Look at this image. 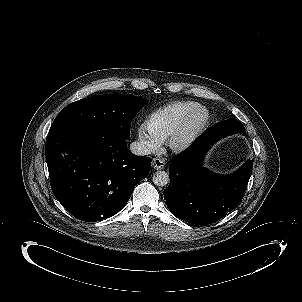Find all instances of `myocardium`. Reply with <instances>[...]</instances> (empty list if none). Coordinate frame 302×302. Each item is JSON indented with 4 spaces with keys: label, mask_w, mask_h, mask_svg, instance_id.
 I'll return each instance as SVG.
<instances>
[{
    "label": "myocardium",
    "mask_w": 302,
    "mask_h": 302,
    "mask_svg": "<svg viewBox=\"0 0 302 302\" xmlns=\"http://www.w3.org/2000/svg\"><path fill=\"white\" fill-rule=\"evenodd\" d=\"M197 115L202 116L200 122L190 131L185 132L189 122ZM209 119V112L203 106H197L187 113L175 129L168 135L166 139V146L168 149L173 153H181L188 149L206 129Z\"/></svg>",
    "instance_id": "1"
}]
</instances>
